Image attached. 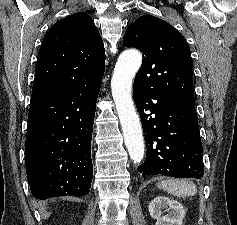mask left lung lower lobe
Segmentation results:
<instances>
[{"instance_id": "obj_1", "label": "left lung lower lobe", "mask_w": 237, "mask_h": 225, "mask_svg": "<svg viewBox=\"0 0 237 225\" xmlns=\"http://www.w3.org/2000/svg\"><path fill=\"white\" fill-rule=\"evenodd\" d=\"M133 97L147 146L145 162L138 167L142 176L201 178L203 148L195 100L153 94L135 85Z\"/></svg>"}]
</instances>
